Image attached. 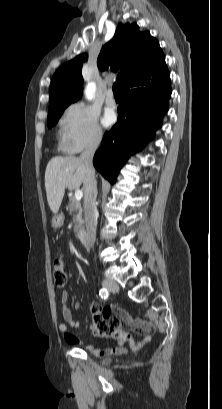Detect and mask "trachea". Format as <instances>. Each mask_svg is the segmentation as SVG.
Here are the masks:
<instances>
[{
	"mask_svg": "<svg viewBox=\"0 0 222 409\" xmlns=\"http://www.w3.org/2000/svg\"><path fill=\"white\" fill-rule=\"evenodd\" d=\"M113 93L114 95H120L118 83L113 84Z\"/></svg>",
	"mask_w": 222,
	"mask_h": 409,
	"instance_id": "obj_1",
	"label": "trachea"
}]
</instances>
